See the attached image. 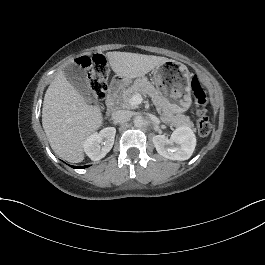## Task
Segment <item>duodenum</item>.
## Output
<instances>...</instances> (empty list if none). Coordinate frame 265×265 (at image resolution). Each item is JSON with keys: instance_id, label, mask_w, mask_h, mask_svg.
Returning <instances> with one entry per match:
<instances>
[{"instance_id": "1", "label": "duodenum", "mask_w": 265, "mask_h": 265, "mask_svg": "<svg viewBox=\"0 0 265 265\" xmlns=\"http://www.w3.org/2000/svg\"><path fill=\"white\" fill-rule=\"evenodd\" d=\"M124 84H125V80L123 78L115 79L110 84L109 89H108L107 100H106V104H107V108L109 112L115 109L116 100Z\"/></svg>"}]
</instances>
